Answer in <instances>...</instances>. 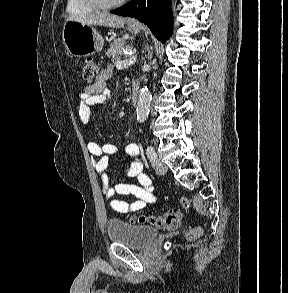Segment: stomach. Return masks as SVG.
Listing matches in <instances>:
<instances>
[{
	"label": "stomach",
	"instance_id": "0dacf381",
	"mask_svg": "<svg viewBox=\"0 0 288 293\" xmlns=\"http://www.w3.org/2000/svg\"><path fill=\"white\" fill-rule=\"evenodd\" d=\"M128 30L137 34L140 26L128 23ZM63 44L67 52L74 57H85L100 52L104 46V39L99 32L79 21H66L62 31Z\"/></svg>",
	"mask_w": 288,
	"mask_h": 293
}]
</instances>
